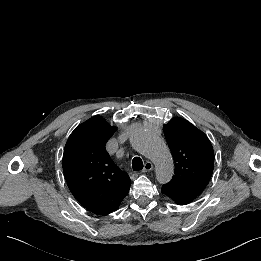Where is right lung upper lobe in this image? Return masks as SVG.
Wrapping results in <instances>:
<instances>
[{
    "mask_svg": "<svg viewBox=\"0 0 261 261\" xmlns=\"http://www.w3.org/2000/svg\"><path fill=\"white\" fill-rule=\"evenodd\" d=\"M101 116L79 125L69 136L63 154L67 185L88 211L104 215L117 210L129 192L130 178L112 161L105 149L114 134Z\"/></svg>",
    "mask_w": 261,
    "mask_h": 261,
    "instance_id": "cb5924a9",
    "label": "right lung upper lobe"
}]
</instances>
